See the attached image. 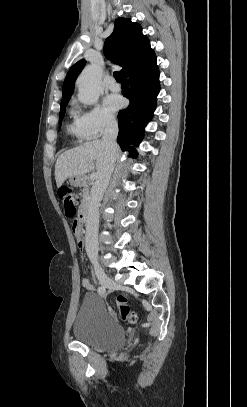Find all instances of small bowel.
<instances>
[{"label": "small bowel", "instance_id": "small-bowel-1", "mask_svg": "<svg viewBox=\"0 0 247 407\" xmlns=\"http://www.w3.org/2000/svg\"><path fill=\"white\" fill-rule=\"evenodd\" d=\"M74 233H75V236H76L78 247L80 249H83L84 248L83 235H82L81 228L78 225H75ZM82 285L87 290H93V286L91 285V283L89 282V280L87 278H83Z\"/></svg>", "mask_w": 247, "mask_h": 407}]
</instances>
